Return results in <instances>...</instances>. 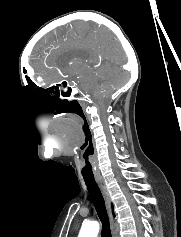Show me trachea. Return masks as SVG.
<instances>
[{"mask_svg": "<svg viewBox=\"0 0 181 237\" xmlns=\"http://www.w3.org/2000/svg\"><path fill=\"white\" fill-rule=\"evenodd\" d=\"M90 197L94 203L97 214L102 222V237H112L109 225V218L101 191L94 178L84 177Z\"/></svg>", "mask_w": 181, "mask_h": 237, "instance_id": "obj_1", "label": "trachea"}]
</instances>
